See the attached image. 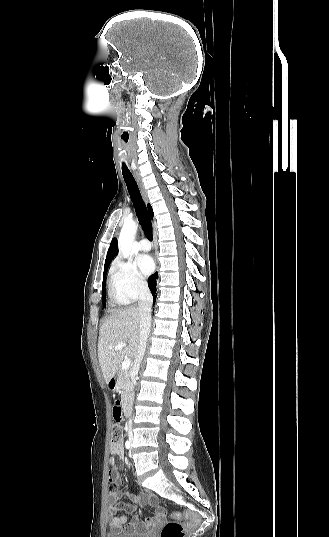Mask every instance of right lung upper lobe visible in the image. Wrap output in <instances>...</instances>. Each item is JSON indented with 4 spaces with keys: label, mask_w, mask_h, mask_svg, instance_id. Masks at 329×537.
<instances>
[{
    "label": "right lung upper lobe",
    "mask_w": 329,
    "mask_h": 537,
    "mask_svg": "<svg viewBox=\"0 0 329 537\" xmlns=\"http://www.w3.org/2000/svg\"><path fill=\"white\" fill-rule=\"evenodd\" d=\"M148 210H149V213L151 215V217L153 216V210L151 208V206L148 204ZM117 251H116V239L114 238L112 241H111V244H110V247L108 249V252H107V256H106V261H105V265H104V269L108 268L112 259L115 257Z\"/></svg>",
    "instance_id": "obj_1"
}]
</instances>
